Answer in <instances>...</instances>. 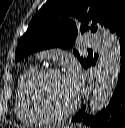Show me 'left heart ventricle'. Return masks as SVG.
Returning <instances> with one entry per match:
<instances>
[{
    "label": "left heart ventricle",
    "instance_id": "b2bd125f",
    "mask_svg": "<svg viewBox=\"0 0 125 128\" xmlns=\"http://www.w3.org/2000/svg\"><path fill=\"white\" fill-rule=\"evenodd\" d=\"M40 96L45 106L53 112L68 109L76 98L63 74L45 80L40 87Z\"/></svg>",
    "mask_w": 125,
    "mask_h": 128
}]
</instances>
